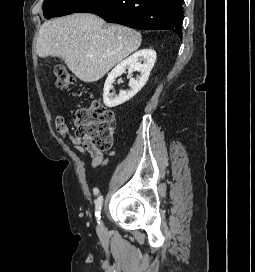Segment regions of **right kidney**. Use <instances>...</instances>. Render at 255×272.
I'll return each instance as SVG.
<instances>
[{
  "mask_svg": "<svg viewBox=\"0 0 255 272\" xmlns=\"http://www.w3.org/2000/svg\"><path fill=\"white\" fill-rule=\"evenodd\" d=\"M143 61V64L141 62ZM156 61V52L153 49H141L130 57L118 64L108 75L104 84L103 101L107 107H116L134 97L148 81L150 72ZM126 69L129 75L133 71H139L140 76L137 79L131 78L129 81L130 89L128 91H120L118 96L110 93L112 84L118 76H121Z\"/></svg>",
  "mask_w": 255,
  "mask_h": 272,
  "instance_id": "right-kidney-1",
  "label": "right kidney"
}]
</instances>
